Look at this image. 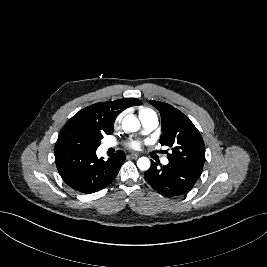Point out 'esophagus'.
Returning <instances> with one entry per match:
<instances>
[{
	"instance_id": "esophagus-1",
	"label": "esophagus",
	"mask_w": 267,
	"mask_h": 267,
	"mask_svg": "<svg viewBox=\"0 0 267 267\" xmlns=\"http://www.w3.org/2000/svg\"><path fill=\"white\" fill-rule=\"evenodd\" d=\"M128 157H130L132 159H137L139 157V154H137V153H131Z\"/></svg>"
}]
</instances>
